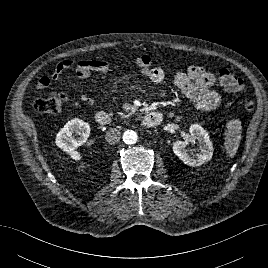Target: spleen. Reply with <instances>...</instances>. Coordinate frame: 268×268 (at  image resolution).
<instances>
[{
  "mask_svg": "<svg viewBox=\"0 0 268 268\" xmlns=\"http://www.w3.org/2000/svg\"><path fill=\"white\" fill-rule=\"evenodd\" d=\"M227 132L225 135V148L230 157H233L238 150L241 140L242 126L239 119H233L226 125Z\"/></svg>",
  "mask_w": 268,
  "mask_h": 268,
  "instance_id": "3e777b00",
  "label": "spleen"
}]
</instances>
